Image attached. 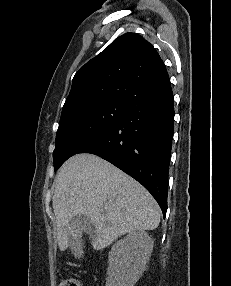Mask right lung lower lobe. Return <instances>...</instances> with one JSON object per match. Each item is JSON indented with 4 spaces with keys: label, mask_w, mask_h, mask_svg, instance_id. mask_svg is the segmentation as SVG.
Returning <instances> with one entry per match:
<instances>
[{
    "label": "right lung lower lobe",
    "mask_w": 231,
    "mask_h": 286,
    "mask_svg": "<svg viewBox=\"0 0 231 286\" xmlns=\"http://www.w3.org/2000/svg\"><path fill=\"white\" fill-rule=\"evenodd\" d=\"M126 105L127 113L78 153L95 154L132 176L152 194L165 216L174 132L169 79L142 91Z\"/></svg>",
    "instance_id": "98d812e1"
}]
</instances>
